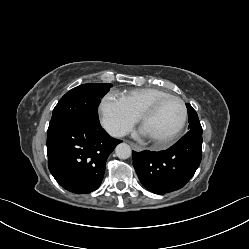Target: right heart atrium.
I'll return each mask as SVG.
<instances>
[{
	"label": "right heart atrium",
	"mask_w": 249,
	"mask_h": 249,
	"mask_svg": "<svg viewBox=\"0 0 249 249\" xmlns=\"http://www.w3.org/2000/svg\"><path fill=\"white\" fill-rule=\"evenodd\" d=\"M98 112L105 129L117 137L128 133L139 118L119 97L112 93L106 94L100 100Z\"/></svg>",
	"instance_id": "right-heart-atrium-1"
}]
</instances>
